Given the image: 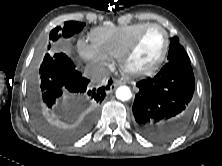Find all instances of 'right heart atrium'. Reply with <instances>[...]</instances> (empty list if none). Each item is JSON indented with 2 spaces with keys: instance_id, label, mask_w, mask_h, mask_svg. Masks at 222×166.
<instances>
[{
  "instance_id": "1",
  "label": "right heart atrium",
  "mask_w": 222,
  "mask_h": 166,
  "mask_svg": "<svg viewBox=\"0 0 222 166\" xmlns=\"http://www.w3.org/2000/svg\"><path fill=\"white\" fill-rule=\"evenodd\" d=\"M78 50L87 62L97 66H103L106 64V57L87 41L80 40L78 42Z\"/></svg>"
}]
</instances>
